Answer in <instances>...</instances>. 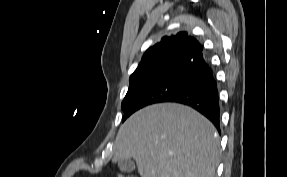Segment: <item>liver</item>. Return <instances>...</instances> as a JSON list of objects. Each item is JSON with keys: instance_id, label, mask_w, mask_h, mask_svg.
Returning <instances> with one entry per match:
<instances>
[{"instance_id": "6515ba94", "label": "liver", "mask_w": 287, "mask_h": 177, "mask_svg": "<svg viewBox=\"0 0 287 177\" xmlns=\"http://www.w3.org/2000/svg\"><path fill=\"white\" fill-rule=\"evenodd\" d=\"M219 145L215 127L194 109L154 104L121 125L113 161L133 158L141 177H215Z\"/></svg>"}]
</instances>
